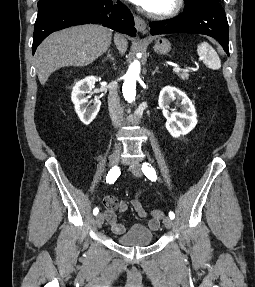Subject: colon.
Segmentation results:
<instances>
[{"label": "colon", "mask_w": 255, "mask_h": 287, "mask_svg": "<svg viewBox=\"0 0 255 287\" xmlns=\"http://www.w3.org/2000/svg\"><path fill=\"white\" fill-rule=\"evenodd\" d=\"M152 217L155 219H161L164 216V213L160 210L154 209L151 211Z\"/></svg>", "instance_id": "colon-1"}]
</instances>
